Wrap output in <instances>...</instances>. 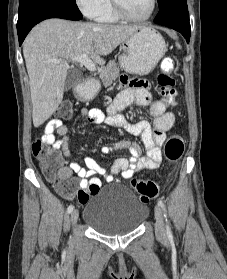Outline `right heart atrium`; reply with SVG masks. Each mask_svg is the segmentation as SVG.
<instances>
[{
	"label": "right heart atrium",
	"mask_w": 227,
	"mask_h": 279,
	"mask_svg": "<svg viewBox=\"0 0 227 279\" xmlns=\"http://www.w3.org/2000/svg\"><path fill=\"white\" fill-rule=\"evenodd\" d=\"M108 0H75L76 5L88 17H96L105 7Z\"/></svg>",
	"instance_id": "obj_1"
}]
</instances>
